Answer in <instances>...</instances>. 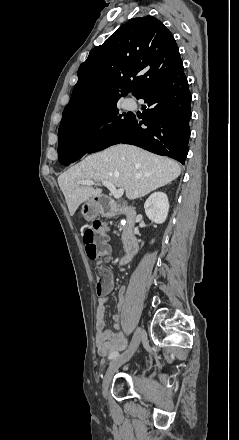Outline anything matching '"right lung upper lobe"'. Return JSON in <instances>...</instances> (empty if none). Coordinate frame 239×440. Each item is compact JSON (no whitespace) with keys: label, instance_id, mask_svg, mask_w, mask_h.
Returning a JSON list of instances; mask_svg holds the SVG:
<instances>
[{"label":"right lung upper lobe","instance_id":"cb5924a9","mask_svg":"<svg viewBox=\"0 0 239 440\" xmlns=\"http://www.w3.org/2000/svg\"><path fill=\"white\" fill-rule=\"evenodd\" d=\"M180 60L176 41L161 21L152 16L129 20L103 45L94 47L80 65L61 123L129 92L138 97Z\"/></svg>","mask_w":239,"mask_h":440}]
</instances>
